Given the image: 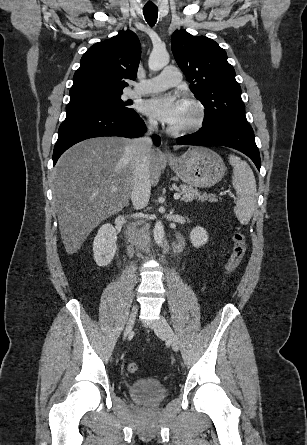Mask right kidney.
Returning <instances> with one entry per match:
<instances>
[{
	"label": "right kidney",
	"mask_w": 307,
	"mask_h": 445,
	"mask_svg": "<svg viewBox=\"0 0 307 445\" xmlns=\"http://www.w3.org/2000/svg\"><path fill=\"white\" fill-rule=\"evenodd\" d=\"M117 231L112 225H102L93 243L94 261L98 267L110 265L117 249Z\"/></svg>",
	"instance_id": "1"
}]
</instances>
